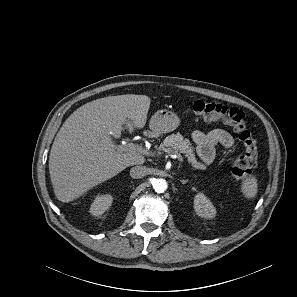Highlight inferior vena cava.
Here are the masks:
<instances>
[{"instance_id": "602c4592", "label": "inferior vena cava", "mask_w": 297, "mask_h": 297, "mask_svg": "<svg viewBox=\"0 0 297 297\" xmlns=\"http://www.w3.org/2000/svg\"><path fill=\"white\" fill-rule=\"evenodd\" d=\"M148 174V169L145 166H134L130 169V176L134 179H139Z\"/></svg>"}]
</instances>
